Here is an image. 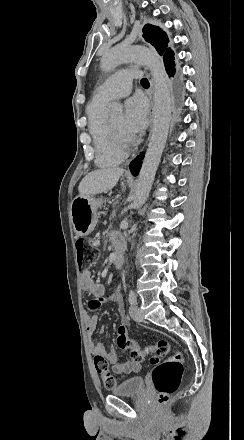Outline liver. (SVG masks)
<instances>
[{"mask_svg":"<svg viewBox=\"0 0 244 440\" xmlns=\"http://www.w3.org/2000/svg\"><path fill=\"white\" fill-rule=\"evenodd\" d=\"M123 168H100L95 172H89L78 186L80 196H94V194H102L108 192L116 186L119 178H121Z\"/></svg>","mask_w":244,"mask_h":440,"instance_id":"6515ba94","label":"liver"}]
</instances>
